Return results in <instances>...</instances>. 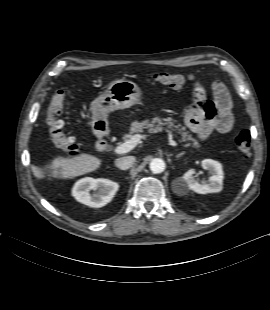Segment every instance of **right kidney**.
Listing matches in <instances>:
<instances>
[{"instance_id": "obj_1", "label": "right kidney", "mask_w": 270, "mask_h": 310, "mask_svg": "<svg viewBox=\"0 0 270 310\" xmlns=\"http://www.w3.org/2000/svg\"><path fill=\"white\" fill-rule=\"evenodd\" d=\"M118 188V183L111 180L86 177L75 183L72 189V196L82 204L99 208L112 200ZM91 190H93L92 193Z\"/></svg>"}]
</instances>
